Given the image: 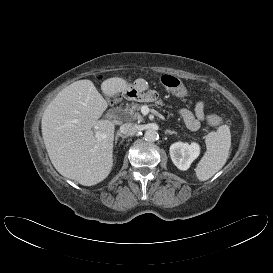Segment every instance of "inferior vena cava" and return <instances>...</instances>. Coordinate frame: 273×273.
Segmentation results:
<instances>
[{
	"label": "inferior vena cava",
	"instance_id": "1",
	"mask_svg": "<svg viewBox=\"0 0 273 273\" xmlns=\"http://www.w3.org/2000/svg\"><path fill=\"white\" fill-rule=\"evenodd\" d=\"M138 132V127L136 125L125 123L120 126V133L126 136H133Z\"/></svg>",
	"mask_w": 273,
	"mask_h": 273
}]
</instances>
